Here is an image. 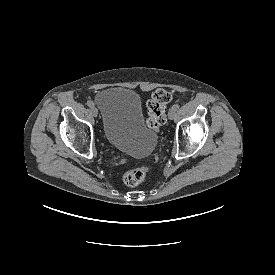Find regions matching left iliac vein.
Masks as SVG:
<instances>
[{
    "instance_id": "1",
    "label": "left iliac vein",
    "mask_w": 275,
    "mask_h": 275,
    "mask_svg": "<svg viewBox=\"0 0 275 275\" xmlns=\"http://www.w3.org/2000/svg\"><path fill=\"white\" fill-rule=\"evenodd\" d=\"M168 117H169V119H174V117H175V110L174 109H170L169 110V112H168Z\"/></svg>"
}]
</instances>
